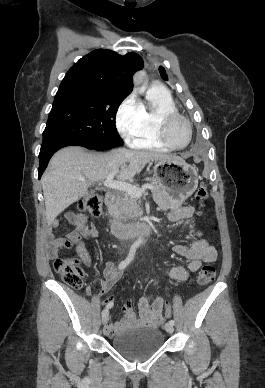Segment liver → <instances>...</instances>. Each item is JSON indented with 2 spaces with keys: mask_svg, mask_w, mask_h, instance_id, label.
<instances>
[{
  "mask_svg": "<svg viewBox=\"0 0 265 388\" xmlns=\"http://www.w3.org/2000/svg\"><path fill=\"white\" fill-rule=\"evenodd\" d=\"M182 160L178 156H167L157 152L140 150H112L109 154H87L80 146H68L54 154L41 180L46 206L47 224L87 194L90 184L103 182L114 170H119L117 180H132L151 160ZM184 162V160H183ZM85 178L87 182H80Z\"/></svg>",
  "mask_w": 265,
  "mask_h": 388,
  "instance_id": "obj_1",
  "label": "liver"
}]
</instances>
